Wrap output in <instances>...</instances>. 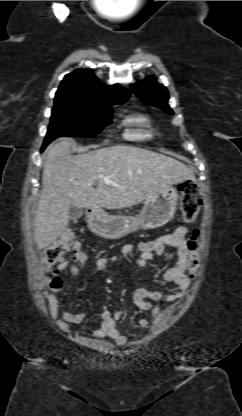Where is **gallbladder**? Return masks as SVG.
<instances>
[{
	"label": "gallbladder",
	"instance_id": "bac80fb5",
	"mask_svg": "<svg viewBox=\"0 0 242 416\" xmlns=\"http://www.w3.org/2000/svg\"><path fill=\"white\" fill-rule=\"evenodd\" d=\"M83 215V210L78 208L74 205H70L69 207V216L72 220H77Z\"/></svg>",
	"mask_w": 242,
	"mask_h": 416
}]
</instances>
